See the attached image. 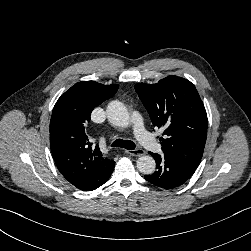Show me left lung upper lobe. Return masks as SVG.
<instances>
[{"label":"left lung upper lobe","mask_w":251,"mask_h":251,"mask_svg":"<svg viewBox=\"0 0 251 251\" xmlns=\"http://www.w3.org/2000/svg\"><path fill=\"white\" fill-rule=\"evenodd\" d=\"M135 90L153 126L164 129V155L197 168L207 137V114L195 86L172 75L156 84L138 83Z\"/></svg>","instance_id":"left-lung-upper-lobe-1"}]
</instances>
